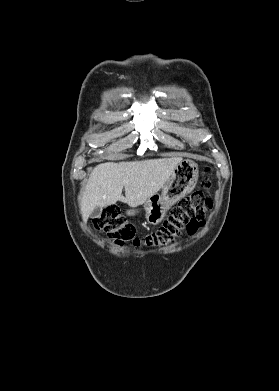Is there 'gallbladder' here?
Wrapping results in <instances>:
<instances>
[{"label": "gallbladder", "instance_id": "bac80fb5", "mask_svg": "<svg viewBox=\"0 0 279 391\" xmlns=\"http://www.w3.org/2000/svg\"><path fill=\"white\" fill-rule=\"evenodd\" d=\"M101 213H102V208H100V207H96L94 210H93V212L91 213V218H98V217H100V215H101Z\"/></svg>", "mask_w": 279, "mask_h": 391}]
</instances>
